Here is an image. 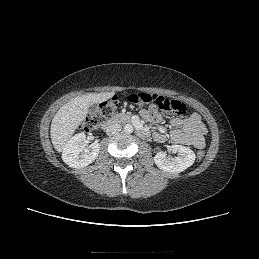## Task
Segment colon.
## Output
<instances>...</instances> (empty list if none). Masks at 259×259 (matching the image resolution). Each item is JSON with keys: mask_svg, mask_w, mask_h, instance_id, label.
I'll return each instance as SVG.
<instances>
[{"mask_svg": "<svg viewBox=\"0 0 259 259\" xmlns=\"http://www.w3.org/2000/svg\"><path fill=\"white\" fill-rule=\"evenodd\" d=\"M128 101L134 105L151 104L163 111H167L173 114L182 115L186 111V105L174 99H168L163 96L138 92L128 96ZM118 108V99L113 97L108 101L101 103L96 112L88 116L84 122L85 129H95L104 123L107 119L111 118ZM205 152L200 150L197 152V158L203 159Z\"/></svg>", "mask_w": 259, "mask_h": 259, "instance_id": "obj_1", "label": "colon"}]
</instances>
